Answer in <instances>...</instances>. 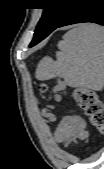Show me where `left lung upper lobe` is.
Returning <instances> with one entry per match:
<instances>
[{
  "label": "left lung upper lobe",
  "instance_id": "1",
  "mask_svg": "<svg viewBox=\"0 0 104 169\" xmlns=\"http://www.w3.org/2000/svg\"><path fill=\"white\" fill-rule=\"evenodd\" d=\"M46 2L50 6L43 8V15L35 31L52 32L74 8L77 0H46Z\"/></svg>",
  "mask_w": 104,
  "mask_h": 169
}]
</instances>
